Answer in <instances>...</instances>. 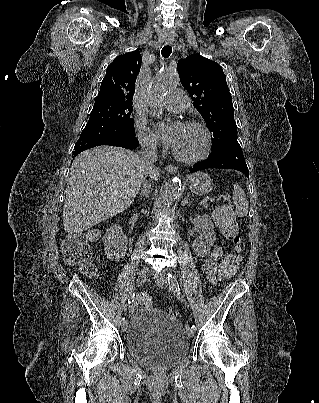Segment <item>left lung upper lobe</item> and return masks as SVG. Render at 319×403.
I'll use <instances>...</instances> for the list:
<instances>
[{"instance_id":"1","label":"left lung upper lobe","mask_w":319,"mask_h":403,"mask_svg":"<svg viewBox=\"0 0 319 403\" xmlns=\"http://www.w3.org/2000/svg\"><path fill=\"white\" fill-rule=\"evenodd\" d=\"M178 74L212 135V153L238 143L232 97L222 67L200 54L178 61Z\"/></svg>"}]
</instances>
